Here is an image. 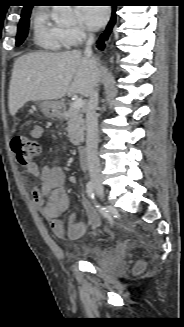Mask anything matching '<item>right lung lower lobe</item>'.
Listing matches in <instances>:
<instances>
[{
    "label": "right lung lower lobe",
    "instance_id": "98d812e1",
    "mask_svg": "<svg viewBox=\"0 0 184 327\" xmlns=\"http://www.w3.org/2000/svg\"><path fill=\"white\" fill-rule=\"evenodd\" d=\"M112 8H113V10H112V17L110 19V22L108 23L105 32L100 36L99 40L97 41V44H98V48L99 49H103L104 48V42H105V40L108 39V36H109V34H110V32H111L114 24H115V19H116V17H115V11H116V6H113Z\"/></svg>",
    "mask_w": 184,
    "mask_h": 327
}]
</instances>
